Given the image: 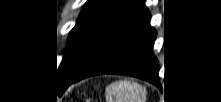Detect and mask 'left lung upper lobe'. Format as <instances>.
Segmentation results:
<instances>
[{
  "instance_id": "5c2ea615",
  "label": "left lung upper lobe",
  "mask_w": 221,
  "mask_h": 102,
  "mask_svg": "<svg viewBox=\"0 0 221 102\" xmlns=\"http://www.w3.org/2000/svg\"><path fill=\"white\" fill-rule=\"evenodd\" d=\"M139 0H88L71 30L58 81L62 85L90 60L108 37L129 17Z\"/></svg>"
}]
</instances>
